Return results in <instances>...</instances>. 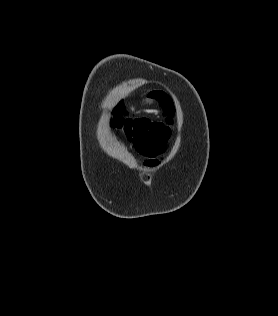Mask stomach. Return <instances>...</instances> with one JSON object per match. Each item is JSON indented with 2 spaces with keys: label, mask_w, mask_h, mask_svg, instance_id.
<instances>
[{
  "label": "stomach",
  "mask_w": 278,
  "mask_h": 316,
  "mask_svg": "<svg viewBox=\"0 0 278 316\" xmlns=\"http://www.w3.org/2000/svg\"><path fill=\"white\" fill-rule=\"evenodd\" d=\"M153 99H151V98H146L145 99V104H147V105H151V104H153Z\"/></svg>",
  "instance_id": "stomach-1"
}]
</instances>
